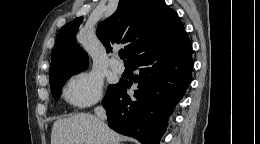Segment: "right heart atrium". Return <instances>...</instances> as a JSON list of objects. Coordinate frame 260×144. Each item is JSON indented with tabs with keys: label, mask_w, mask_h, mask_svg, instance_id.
Here are the masks:
<instances>
[{
	"label": "right heart atrium",
	"mask_w": 260,
	"mask_h": 144,
	"mask_svg": "<svg viewBox=\"0 0 260 144\" xmlns=\"http://www.w3.org/2000/svg\"><path fill=\"white\" fill-rule=\"evenodd\" d=\"M64 95L70 104L77 107L95 104L102 98V81L92 72H80L68 80Z\"/></svg>",
	"instance_id": "obj_1"
}]
</instances>
